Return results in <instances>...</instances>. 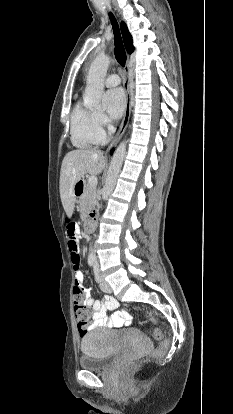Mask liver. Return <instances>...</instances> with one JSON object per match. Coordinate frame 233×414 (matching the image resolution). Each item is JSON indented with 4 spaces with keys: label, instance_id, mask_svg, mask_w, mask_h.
<instances>
[{
    "label": "liver",
    "instance_id": "obj_1",
    "mask_svg": "<svg viewBox=\"0 0 233 414\" xmlns=\"http://www.w3.org/2000/svg\"><path fill=\"white\" fill-rule=\"evenodd\" d=\"M107 163L103 152L96 149H76L68 152L60 171L59 190L63 208L71 217L75 206L74 187L87 173L92 176L100 174Z\"/></svg>",
    "mask_w": 233,
    "mask_h": 414
}]
</instances>
